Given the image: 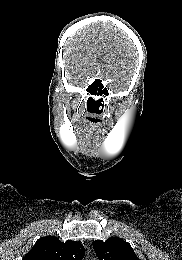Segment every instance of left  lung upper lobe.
Returning <instances> with one entry per match:
<instances>
[{"instance_id":"obj_1","label":"left lung upper lobe","mask_w":182,"mask_h":260,"mask_svg":"<svg viewBox=\"0 0 182 260\" xmlns=\"http://www.w3.org/2000/svg\"><path fill=\"white\" fill-rule=\"evenodd\" d=\"M93 248L99 260H139L131 245L118 237L95 240Z\"/></svg>"}]
</instances>
